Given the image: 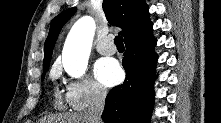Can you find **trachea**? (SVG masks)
Returning a JSON list of instances; mask_svg holds the SVG:
<instances>
[{"label": "trachea", "instance_id": "3493384b", "mask_svg": "<svg viewBox=\"0 0 221 123\" xmlns=\"http://www.w3.org/2000/svg\"><path fill=\"white\" fill-rule=\"evenodd\" d=\"M114 43L117 48H124L122 36H120V35L116 36L114 39Z\"/></svg>", "mask_w": 221, "mask_h": 123}]
</instances>
